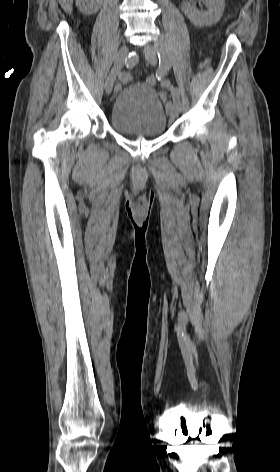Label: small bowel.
<instances>
[{"label": "small bowel", "mask_w": 280, "mask_h": 472, "mask_svg": "<svg viewBox=\"0 0 280 472\" xmlns=\"http://www.w3.org/2000/svg\"><path fill=\"white\" fill-rule=\"evenodd\" d=\"M206 64H207V62H205V63L202 65V67L205 66ZM168 85H169V82H168L167 80H163V81L161 82V88H167ZM160 96H161L162 98H166V96H167V95H166V92L163 91V90L160 91Z\"/></svg>", "instance_id": "c3829d8e"}]
</instances>
